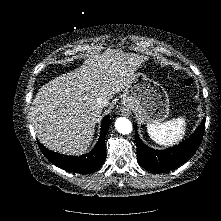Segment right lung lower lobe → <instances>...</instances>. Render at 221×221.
<instances>
[{
    "instance_id": "98d812e1",
    "label": "right lung lower lobe",
    "mask_w": 221,
    "mask_h": 221,
    "mask_svg": "<svg viewBox=\"0 0 221 221\" xmlns=\"http://www.w3.org/2000/svg\"><path fill=\"white\" fill-rule=\"evenodd\" d=\"M110 123L109 116H105L101 125L100 137L94 149L79 157L61 155L48 150L41 143L38 145L45 157L57 167L73 173H90L101 167L105 161L104 142Z\"/></svg>"
}]
</instances>
